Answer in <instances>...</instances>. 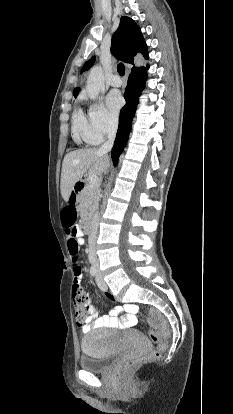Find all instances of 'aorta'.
<instances>
[{
  "mask_svg": "<svg viewBox=\"0 0 233 414\" xmlns=\"http://www.w3.org/2000/svg\"><path fill=\"white\" fill-rule=\"evenodd\" d=\"M104 87V73L101 66H94L88 75L86 92L91 99H96Z\"/></svg>",
  "mask_w": 233,
  "mask_h": 414,
  "instance_id": "1",
  "label": "aorta"
}]
</instances>
